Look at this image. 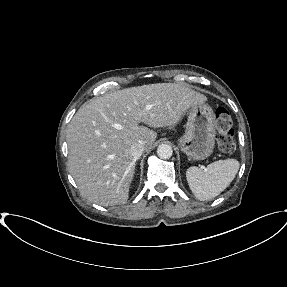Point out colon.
<instances>
[{
    "mask_svg": "<svg viewBox=\"0 0 287 287\" xmlns=\"http://www.w3.org/2000/svg\"><path fill=\"white\" fill-rule=\"evenodd\" d=\"M217 144L224 153H230L235 147V134L233 130V120L225 108L216 110Z\"/></svg>",
    "mask_w": 287,
    "mask_h": 287,
    "instance_id": "obj_1",
    "label": "colon"
}]
</instances>
